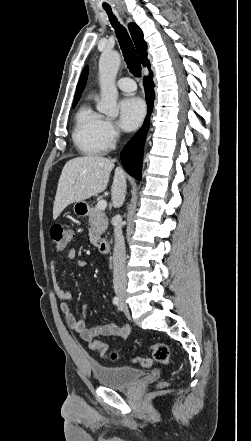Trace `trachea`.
Here are the masks:
<instances>
[{
    "instance_id": "1",
    "label": "trachea",
    "mask_w": 251,
    "mask_h": 441,
    "mask_svg": "<svg viewBox=\"0 0 251 441\" xmlns=\"http://www.w3.org/2000/svg\"><path fill=\"white\" fill-rule=\"evenodd\" d=\"M109 16V20L115 29L116 37L118 38L124 60L128 66L129 71L136 77L141 76V63L137 57L133 42L127 30L119 24L116 17L112 13L111 8H104Z\"/></svg>"
}]
</instances>
